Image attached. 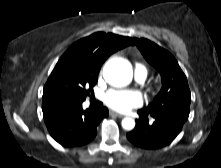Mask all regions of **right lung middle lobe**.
<instances>
[{
    "label": "right lung middle lobe",
    "instance_id": "right-lung-middle-lobe-1",
    "mask_svg": "<svg viewBox=\"0 0 221 168\" xmlns=\"http://www.w3.org/2000/svg\"><path fill=\"white\" fill-rule=\"evenodd\" d=\"M100 67L87 61L60 58L44 86L43 98L84 101L97 83Z\"/></svg>",
    "mask_w": 221,
    "mask_h": 168
}]
</instances>
